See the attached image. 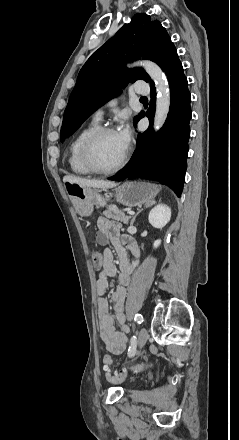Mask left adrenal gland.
<instances>
[{
	"instance_id": "left-adrenal-gland-1",
	"label": "left adrenal gland",
	"mask_w": 239,
	"mask_h": 440,
	"mask_svg": "<svg viewBox=\"0 0 239 440\" xmlns=\"http://www.w3.org/2000/svg\"><path fill=\"white\" fill-rule=\"evenodd\" d=\"M140 212H141V210H140ZM140 212H137V214H135L134 218H132V220H131V222H130V226H133V224H134V222H135V220H136L138 214H140Z\"/></svg>"
}]
</instances>
